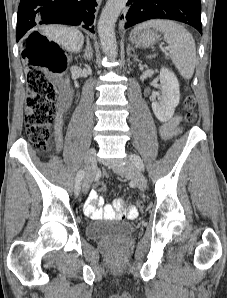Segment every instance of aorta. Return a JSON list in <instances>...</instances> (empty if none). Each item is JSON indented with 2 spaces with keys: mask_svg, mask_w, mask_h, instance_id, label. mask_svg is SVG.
Returning a JSON list of instances; mask_svg holds the SVG:
<instances>
[{
  "mask_svg": "<svg viewBox=\"0 0 227 298\" xmlns=\"http://www.w3.org/2000/svg\"><path fill=\"white\" fill-rule=\"evenodd\" d=\"M128 0H107L98 21V34L102 50L111 58L117 56L115 23Z\"/></svg>",
  "mask_w": 227,
  "mask_h": 298,
  "instance_id": "aorta-1",
  "label": "aorta"
}]
</instances>
